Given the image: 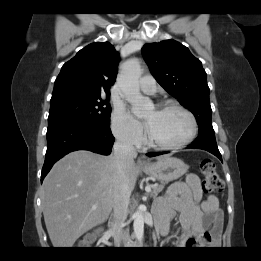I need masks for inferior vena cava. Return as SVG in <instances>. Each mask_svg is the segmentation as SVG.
Returning <instances> with one entry per match:
<instances>
[{"instance_id":"1","label":"inferior vena cava","mask_w":261,"mask_h":261,"mask_svg":"<svg viewBox=\"0 0 261 261\" xmlns=\"http://www.w3.org/2000/svg\"><path fill=\"white\" fill-rule=\"evenodd\" d=\"M137 152L133 143L125 138L119 137L113 146L112 163L114 173V194H113V229L115 242L124 243L128 240V233L123 232L125 220L128 215V205L131 191L126 180V168L134 162Z\"/></svg>"}]
</instances>
